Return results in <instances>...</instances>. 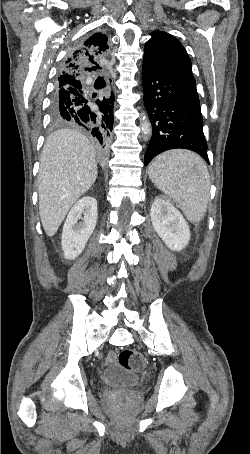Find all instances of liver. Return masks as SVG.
<instances>
[{"instance_id": "obj_1", "label": "liver", "mask_w": 250, "mask_h": 454, "mask_svg": "<svg viewBox=\"0 0 250 454\" xmlns=\"http://www.w3.org/2000/svg\"><path fill=\"white\" fill-rule=\"evenodd\" d=\"M96 152L77 130L60 129L46 140L38 174L39 214L47 236H53L72 205L97 178Z\"/></svg>"}]
</instances>
